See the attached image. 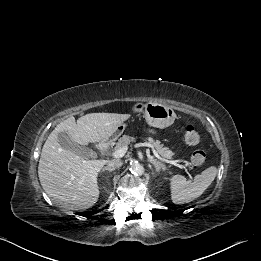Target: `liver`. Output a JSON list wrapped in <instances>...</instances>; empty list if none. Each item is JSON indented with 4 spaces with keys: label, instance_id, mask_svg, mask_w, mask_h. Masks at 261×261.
Listing matches in <instances>:
<instances>
[{
    "label": "liver",
    "instance_id": "1",
    "mask_svg": "<svg viewBox=\"0 0 261 261\" xmlns=\"http://www.w3.org/2000/svg\"><path fill=\"white\" fill-rule=\"evenodd\" d=\"M129 118L127 114L91 113L77 122L72 116L60 122L43 145L38 176L47 195L68 209H87L99 198L98 173L105 160L82 158L63 149L58 133L66 132L76 144L88 145L108 140L117 126Z\"/></svg>",
    "mask_w": 261,
    "mask_h": 261
}]
</instances>
